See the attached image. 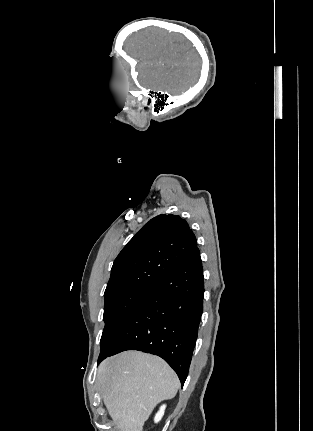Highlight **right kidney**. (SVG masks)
<instances>
[{
    "instance_id": "right-kidney-1",
    "label": "right kidney",
    "mask_w": 313,
    "mask_h": 431,
    "mask_svg": "<svg viewBox=\"0 0 313 431\" xmlns=\"http://www.w3.org/2000/svg\"><path fill=\"white\" fill-rule=\"evenodd\" d=\"M165 408H166V405H162L160 407L159 411L157 412V414L155 415V418H154L155 423H158L162 419L164 412H165Z\"/></svg>"
}]
</instances>
